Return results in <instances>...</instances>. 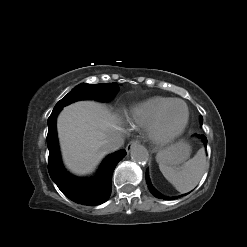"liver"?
<instances>
[{
	"mask_svg": "<svg viewBox=\"0 0 247 247\" xmlns=\"http://www.w3.org/2000/svg\"><path fill=\"white\" fill-rule=\"evenodd\" d=\"M57 130L63 161L76 175L92 173L108 153L107 142L120 136L122 128L115 115L95 101L66 106L58 116Z\"/></svg>",
	"mask_w": 247,
	"mask_h": 247,
	"instance_id": "1",
	"label": "liver"
}]
</instances>
